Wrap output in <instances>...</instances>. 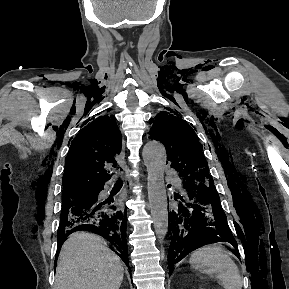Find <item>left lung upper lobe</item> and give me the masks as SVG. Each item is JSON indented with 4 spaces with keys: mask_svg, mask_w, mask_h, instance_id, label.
Segmentation results:
<instances>
[{
    "mask_svg": "<svg viewBox=\"0 0 289 289\" xmlns=\"http://www.w3.org/2000/svg\"><path fill=\"white\" fill-rule=\"evenodd\" d=\"M159 113L149 134L150 138L160 141L167 149V158L172 162L180 177L192 183L212 185L214 182L209 175V167L202 153L203 147L198 141L194 130L182 119L171 115L175 112ZM177 115V114H176Z\"/></svg>",
    "mask_w": 289,
    "mask_h": 289,
    "instance_id": "left-lung-upper-lobe-1",
    "label": "left lung upper lobe"
}]
</instances>
